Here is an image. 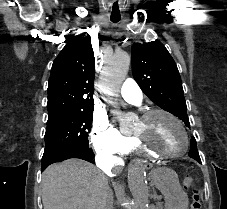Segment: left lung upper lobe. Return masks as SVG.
<instances>
[{
    "instance_id": "5c2ea615",
    "label": "left lung upper lobe",
    "mask_w": 227,
    "mask_h": 209,
    "mask_svg": "<svg viewBox=\"0 0 227 209\" xmlns=\"http://www.w3.org/2000/svg\"><path fill=\"white\" fill-rule=\"evenodd\" d=\"M132 73L142 91L159 107L190 127L178 68L160 41L134 43L131 50ZM189 156L201 163L195 138Z\"/></svg>"
}]
</instances>
